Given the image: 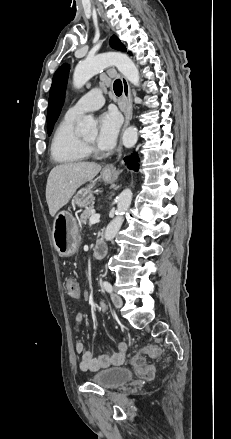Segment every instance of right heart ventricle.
Segmentation results:
<instances>
[{
    "label": "right heart ventricle",
    "instance_id": "obj_1",
    "mask_svg": "<svg viewBox=\"0 0 231 439\" xmlns=\"http://www.w3.org/2000/svg\"><path fill=\"white\" fill-rule=\"evenodd\" d=\"M77 119L65 115L54 131L50 154L58 164H75L88 156V150L75 129Z\"/></svg>",
    "mask_w": 231,
    "mask_h": 439
}]
</instances>
